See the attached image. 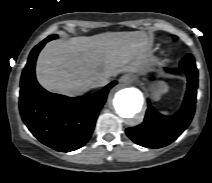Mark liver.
I'll return each instance as SVG.
<instances>
[{"label":"liver","instance_id":"obj_1","mask_svg":"<svg viewBox=\"0 0 212 183\" xmlns=\"http://www.w3.org/2000/svg\"><path fill=\"white\" fill-rule=\"evenodd\" d=\"M153 61L144 32H107L48 43L39 54L36 76L51 92L80 95L93 88L96 77L146 74Z\"/></svg>","mask_w":212,"mask_h":183}]
</instances>
